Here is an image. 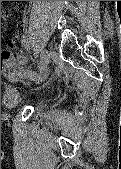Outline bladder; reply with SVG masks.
Listing matches in <instances>:
<instances>
[{"label":"bladder","instance_id":"1","mask_svg":"<svg viewBox=\"0 0 121 169\" xmlns=\"http://www.w3.org/2000/svg\"><path fill=\"white\" fill-rule=\"evenodd\" d=\"M26 103V97L13 85H6L3 93V106L8 110H17Z\"/></svg>","mask_w":121,"mask_h":169}]
</instances>
